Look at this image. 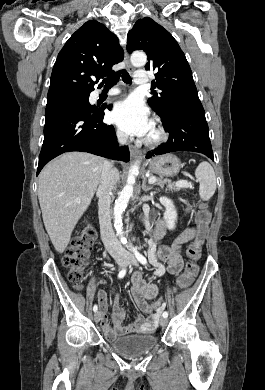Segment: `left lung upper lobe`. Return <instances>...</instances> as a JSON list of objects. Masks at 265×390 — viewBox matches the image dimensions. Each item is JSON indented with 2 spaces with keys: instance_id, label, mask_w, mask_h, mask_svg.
Returning a JSON list of instances; mask_svg holds the SVG:
<instances>
[{
  "instance_id": "obj_1",
  "label": "left lung upper lobe",
  "mask_w": 265,
  "mask_h": 390,
  "mask_svg": "<svg viewBox=\"0 0 265 390\" xmlns=\"http://www.w3.org/2000/svg\"><path fill=\"white\" fill-rule=\"evenodd\" d=\"M143 50L148 55L145 69L155 72V86L161 93L152 92L150 107L166 120L176 103L199 100L185 54L174 37L149 17L136 21L127 36V51Z\"/></svg>"
}]
</instances>
